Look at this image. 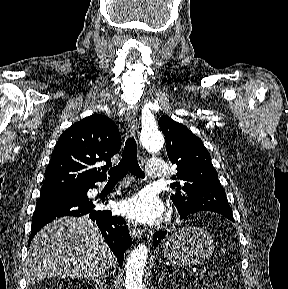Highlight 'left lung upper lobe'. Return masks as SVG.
<instances>
[{
    "label": "left lung upper lobe",
    "mask_w": 288,
    "mask_h": 289,
    "mask_svg": "<svg viewBox=\"0 0 288 289\" xmlns=\"http://www.w3.org/2000/svg\"><path fill=\"white\" fill-rule=\"evenodd\" d=\"M158 124L166 139L168 157L177 165L178 172L173 175L175 182L170 187L174 190L172 201L178 212L212 211L235 222L202 140L169 116H162Z\"/></svg>",
    "instance_id": "left-lung-upper-lobe-1"
}]
</instances>
